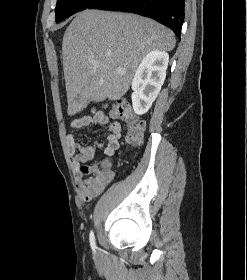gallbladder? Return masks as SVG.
I'll list each match as a JSON object with an SVG mask.
<instances>
[{
  "label": "gallbladder",
  "instance_id": "1",
  "mask_svg": "<svg viewBox=\"0 0 247 280\" xmlns=\"http://www.w3.org/2000/svg\"><path fill=\"white\" fill-rule=\"evenodd\" d=\"M77 100L79 99V95L77 96V98H76Z\"/></svg>",
  "mask_w": 247,
  "mask_h": 280
}]
</instances>
